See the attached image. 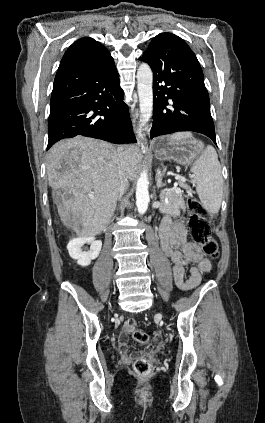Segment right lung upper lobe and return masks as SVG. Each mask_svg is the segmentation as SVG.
Masks as SVG:
<instances>
[{
    "mask_svg": "<svg viewBox=\"0 0 265 423\" xmlns=\"http://www.w3.org/2000/svg\"><path fill=\"white\" fill-rule=\"evenodd\" d=\"M109 62H113V59L108 50L94 39L85 37L77 40L67 49L59 69L86 63L106 64Z\"/></svg>",
    "mask_w": 265,
    "mask_h": 423,
    "instance_id": "1",
    "label": "right lung upper lobe"
}]
</instances>
